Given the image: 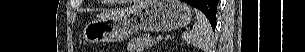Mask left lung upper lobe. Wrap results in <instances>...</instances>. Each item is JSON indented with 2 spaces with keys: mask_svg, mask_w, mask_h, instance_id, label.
Here are the masks:
<instances>
[{
  "mask_svg": "<svg viewBox=\"0 0 305 52\" xmlns=\"http://www.w3.org/2000/svg\"><path fill=\"white\" fill-rule=\"evenodd\" d=\"M216 12H217V9L215 10H208V9H205L204 10V14L207 16V18L209 19L211 25H214L215 24V21H216Z\"/></svg>",
  "mask_w": 305,
  "mask_h": 52,
  "instance_id": "obj_1",
  "label": "left lung upper lobe"
}]
</instances>
